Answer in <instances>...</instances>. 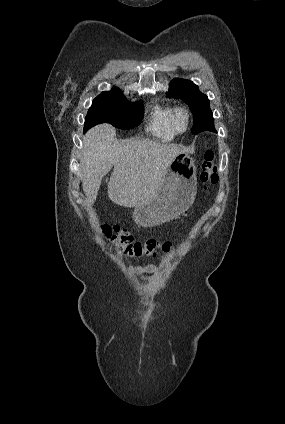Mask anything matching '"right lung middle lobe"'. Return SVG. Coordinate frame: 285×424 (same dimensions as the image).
Segmentation results:
<instances>
[{
    "instance_id": "right-lung-middle-lobe-1",
    "label": "right lung middle lobe",
    "mask_w": 285,
    "mask_h": 424,
    "mask_svg": "<svg viewBox=\"0 0 285 424\" xmlns=\"http://www.w3.org/2000/svg\"><path fill=\"white\" fill-rule=\"evenodd\" d=\"M143 113L141 102H129L120 90L103 92L92 102L85 117L84 131L100 123L132 129L141 123Z\"/></svg>"
}]
</instances>
